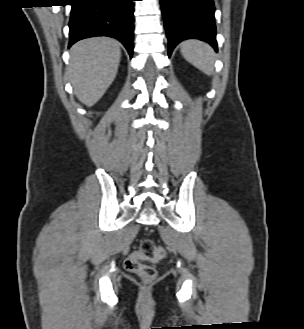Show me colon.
Wrapping results in <instances>:
<instances>
[{"mask_svg": "<svg viewBox=\"0 0 304 329\" xmlns=\"http://www.w3.org/2000/svg\"><path fill=\"white\" fill-rule=\"evenodd\" d=\"M165 256L166 253L163 247L156 245L151 240H143L138 250L125 259L124 267L128 271L137 274L142 281L151 282L156 277V270L152 265L142 261L157 263L163 260Z\"/></svg>", "mask_w": 304, "mask_h": 329, "instance_id": "colon-1", "label": "colon"}]
</instances>
